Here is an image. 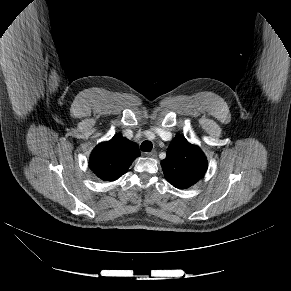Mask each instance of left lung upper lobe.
I'll return each mask as SVG.
<instances>
[{
    "instance_id": "obj_1",
    "label": "left lung upper lobe",
    "mask_w": 291,
    "mask_h": 291,
    "mask_svg": "<svg viewBox=\"0 0 291 291\" xmlns=\"http://www.w3.org/2000/svg\"><path fill=\"white\" fill-rule=\"evenodd\" d=\"M161 166L170 184L176 188L185 189L203 178L208 165L201 149L178 134L170 143Z\"/></svg>"
}]
</instances>
